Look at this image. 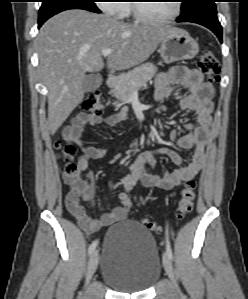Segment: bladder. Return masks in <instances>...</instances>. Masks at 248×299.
I'll return each instance as SVG.
<instances>
[{"mask_svg": "<svg viewBox=\"0 0 248 299\" xmlns=\"http://www.w3.org/2000/svg\"><path fill=\"white\" fill-rule=\"evenodd\" d=\"M160 273L156 242L144 226L124 220L107 231L100 274L108 285L121 292H142L158 280Z\"/></svg>", "mask_w": 248, "mask_h": 299, "instance_id": "obj_1", "label": "bladder"}]
</instances>
